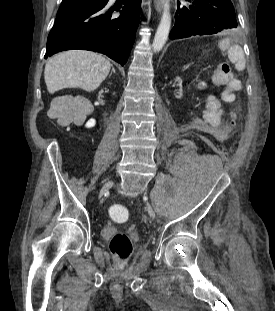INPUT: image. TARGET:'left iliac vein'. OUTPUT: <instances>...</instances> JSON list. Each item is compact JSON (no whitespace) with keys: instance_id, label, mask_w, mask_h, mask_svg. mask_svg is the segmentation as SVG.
<instances>
[{"instance_id":"1","label":"left iliac vein","mask_w":275,"mask_h":311,"mask_svg":"<svg viewBox=\"0 0 275 311\" xmlns=\"http://www.w3.org/2000/svg\"><path fill=\"white\" fill-rule=\"evenodd\" d=\"M147 211L151 218H155V212L151 206H148Z\"/></svg>"}]
</instances>
